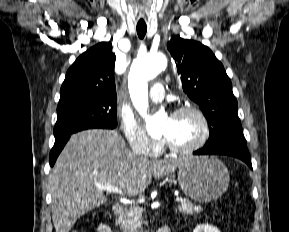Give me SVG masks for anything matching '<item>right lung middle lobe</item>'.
<instances>
[{"label":"right lung middle lobe","instance_id":"right-lung-middle-lobe-1","mask_svg":"<svg viewBox=\"0 0 289 232\" xmlns=\"http://www.w3.org/2000/svg\"><path fill=\"white\" fill-rule=\"evenodd\" d=\"M55 139L85 129L117 126V101L102 98L74 99L57 107Z\"/></svg>","mask_w":289,"mask_h":232}]
</instances>
